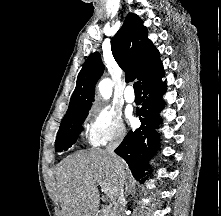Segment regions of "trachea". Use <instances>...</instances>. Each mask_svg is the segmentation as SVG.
<instances>
[{"label": "trachea", "mask_w": 221, "mask_h": 216, "mask_svg": "<svg viewBox=\"0 0 221 216\" xmlns=\"http://www.w3.org/2000/svg\"><path fill=\"white\" fill-rule=\"evenodd\" d=\"M133 87H134L135 93H141V82H139V81L135 82Z\"/></svg>", "instance_id": "1"}]
</instances>
